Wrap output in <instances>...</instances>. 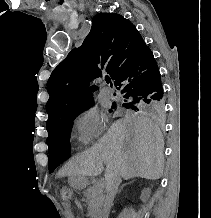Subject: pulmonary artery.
Segmentation results:
<instances>
[{"instance_id":"1","label":"pulmonary artery","mask_w":211,"mask_h":218,"mask_svg":"<svg viewBox=\"0 0 211 218\" xmlns=\"http://www.w3.org/2000/svg\"><path fill=\"white\" fill-rule=\"evenodd\" d=\"M113 95H114V92H113V90H112L110 87L105 86V87H103V88L101 89V96H102L103 98H105V99H110V98L113 97Z\"/></svg>"}]
</instances>
